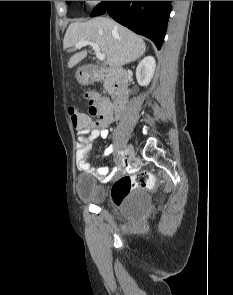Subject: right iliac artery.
<instances>
[{
	"label": "right iliac artery",
	"mask_w": 233,
	"mask_h": 295,
	"mask_svg": "<svg viewBox=\"0 0 233 295\" xmlns=\"http://www.w3.org/2000/svg\"><path fill=\"white\" fill-rule=\"evenodd\" d=\"M125 155L128 154V148H125V151L123 152Z\"/></svg>",
	"instance_id": "1"
}]
</instances>
